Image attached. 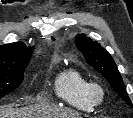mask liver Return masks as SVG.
I'll return each instance as SVG.
<instances>
[{
  "label": "liver",
  "instance_id": "6515ba94",
  "mask_svg": "<svg viewBox=\"0 0 133 118\" xmlns=\"http://www.w3.org/2000/svg\"><path fill=\"white\" fill-rule=\"evenodd\" d=\"M0 118H81L70 109L36 104L24 108H14L12 105L0 106Z\"/></svg>",
  "mask_w": 133,
  "mask_h": 118
}]
</instances>
